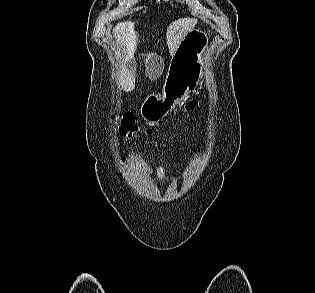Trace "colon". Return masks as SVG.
Returning <instances> with one entry per match:
<instances>
[{
  "instance_id": "5ec220e1",
  "label": "colon",
  "mask_w": 315,
  "mask_h": 293,
  "mask_svg": "<svg viewBox=\"0 0 315 293\" xmlns=\"http://www.w3.org/2000/svg\"><path fill=\"white\" fill-rule=\"evenodd\" d=\"M198 105L197 100H191L185 105L186 111L194 110ZM117 123L119 125V131L124 136L132 137L139 132L138 126L135 123V118L130 113H125L117 117ZM145 133L147 135H152L154 133L153 129H146Z\"/></svg>"
}]
</instances>
